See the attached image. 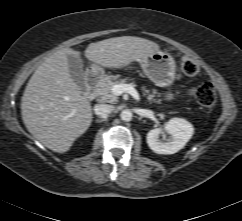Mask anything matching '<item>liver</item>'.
<instances>
[{"label":"liver","instance_id":"1","mask_svg":"<svg viewBox=\"0 0 242 221\" xmlns=\"http://www.w3.org/2000/svg\"><path fill=\"white\" fill-rule=\"evenodd\" d=\"M159 51L150 40L122 36L89 44L85 57L99 66L121 68ZM68 55L79 52L66 47L46 58L31 76L21 102V114L27 130L48 149L67 152L92 122L90 102L70 76Z\"/></svg>","mask_w":242,"mask_h":221}]
</instances>
